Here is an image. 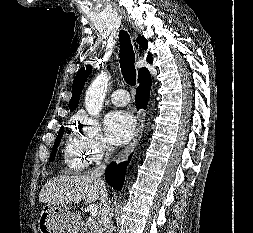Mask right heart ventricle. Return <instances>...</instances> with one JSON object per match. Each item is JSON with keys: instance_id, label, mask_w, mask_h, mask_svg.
I'll list each match as a JSON object with an SVG mask.
<instances>
[{"instance_id": "right-heart-ventricle-1", "label": "right heart ventricle", "mask_w": 253, "mask_h": 233, "mask_svg": "<svg viewBox=\"0 0 253 233\" xmlns=\"http://www.w3.org/2000/svg\"><path fill=\"white\" fill-rule=\"evenodd\" d=\"M63 155L66 167L72 171H80L88 165V155L77 135H69L67 137Z\"/></svg>"}]
</instances>
